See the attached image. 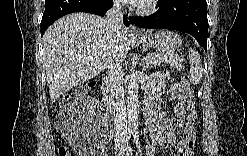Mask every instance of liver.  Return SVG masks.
Segmentation results:
<instances>
[{
  "label": "liver",
  "instance_id": "liver-1",
  "mask_svg": "<svg viewBox=\"0 0 247 156\" xmlns=\"http://www.w3.org/2000/svg\"><path fill=\"white\" fill-rule=\"evenodd\" d=\"M130 35L123 26L111 33L104 18L82 12L53 23L42 38L51 102L97 76L110 62L121 63L129 51Z\"/></svg>",
  "mask_w": 247,
  "mask_h": 156
}]
</instances>
